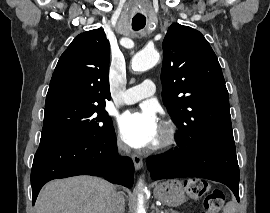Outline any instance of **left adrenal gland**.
<instances>
[{"label": "left adrenal gland", "mask_w": 270, "mask_h": 213, "mask_svg": "<svg viewBox=\"0 0 270 213\" xmlns=\"http://www.w3.org/2000/svg\"><path fill=\"white\" fill-rule=\"evenodd\" d=\"M156 213H159V210H158V208H156Z\"/></svg>", "instance_id": "left-adrenal-gland-1"}]
</instances>
